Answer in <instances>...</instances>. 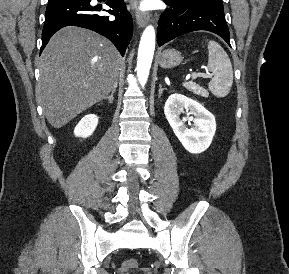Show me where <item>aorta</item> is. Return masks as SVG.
I'll return each mask as SVG.
<instances>
[{"mask_svg":"<svg viewBox=\"0 0 289 274\" xmlns=\"http://www.w3.org/2000/svg\"><path fill=\"white\" fill-rule=\"evenodd\" d=\"M155 50V30L153 26H148L144 30L138 49L137 76L141 86L148 80L150 67Z\"/></svg>","mask_w":289,"mask_h":274,"instance_id":"obj_1","label":"aorta"}]
</instances>
